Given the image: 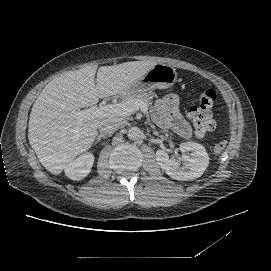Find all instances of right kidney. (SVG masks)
<instances>
[{
  "instance_id": "ca27d5eb",
  "label": "right kidney",
  "mask_w": 271,
  "mask_h": 271,
  "mask_svg": "<svg viewBox=\"0 0 271 271\" xmlns=\"http://www.w3.org/2000/svg\"><path fill=\"white\" fill-rule=\"evenodd\" d=\"M94 155L90 152L80 155L77 159L66 164L63 169L65 175L71 180H82L86 177L93 166Z\"/></svg>"
}]
</instances>
